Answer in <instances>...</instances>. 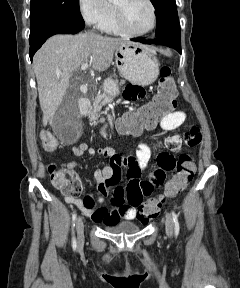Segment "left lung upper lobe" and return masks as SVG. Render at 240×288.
I'll return each mask as SVG.
<instances>
[{"instance_id":"obj_1","label":"left lung upper lobe","mask_w":240,"mask_h":288,"mask_svg":"<svg viewBox=\"0 0 240 288\" xmlns=\"http://www.w3.org/2000/svg\"><path fill=\"white\" fill-rule=\"evenodd\" d=\"M156 10L155 36L181 35L175 0H151Z\"/></svg>"}]
</instances>
